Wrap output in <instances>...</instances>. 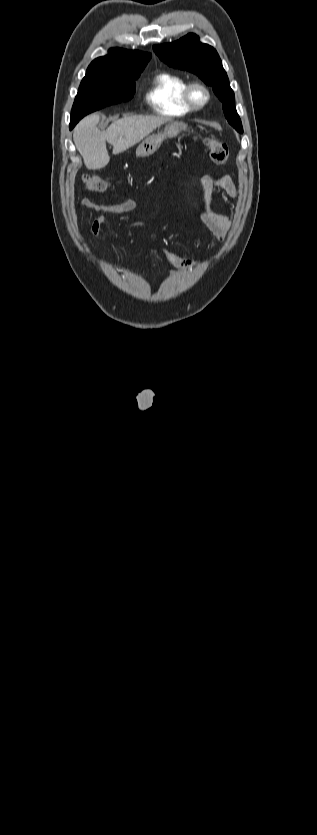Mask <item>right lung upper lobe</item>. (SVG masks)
<instances>
[{
	"label": "right lung upper lobe",
	"instance_id": "right-lung-upper-lobe-1",
	"mask_svg": "<svg viewBox=\"0 0 317 835\" xmlns=\"http://www.w3.org/2000/svg\"><path fill=\"white\" fill-rule=\"evenodd\" d=\"M150 58L151 54L149 53L112 48L107 56L96 58L91 62L86 75L133 70L146 65Z\"/></svg>",
	"mask_w": 317,
	"mask_h": 835
}]
</instances>
